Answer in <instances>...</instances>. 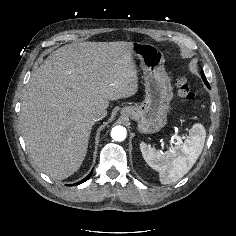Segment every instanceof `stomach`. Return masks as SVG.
<instances>
[{
    "label": "stomach",
    "mask_w": 236,
    "mask_h": 236,
    "mask_svg": "<svg viewBox=\"0 0 236 236\" xmlns=\"http://www.w3.org/2000/svg\"><path fill=\"white\" fill-rule=\"evenodd\" d=\"M131 53L140 59L146 95L140 105L126 106L121 114L136 121L140 133H156L166 124L173 97L170 78L164 69V55L157 46L141 42L132 43Z\"/></svg>",
    "instance_id": "stomach-1"
}]
</instances>
